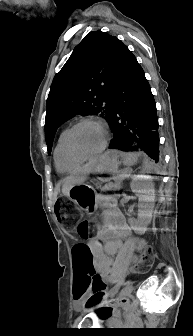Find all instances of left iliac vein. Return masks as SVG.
<instances>
[{"mask_svg": "<svg viewBox=\"0 0 193 336\" xmlns=\"http://www.w3.org/2000/svg\"><path fill=\"white\" fill-rule=\"evenodd\" d=\"M116 290V291H115ZM115 291V292H113ZM118 291V287H114L111 292L110 295L114 296ZM133 291V285L131 283H128L120 292H119V296L120 297H125L131 294V292Z\"/></svg>", "mask_w": 193, "mask_h": 336, "instance_id": "obj_1", "label": "left iliac vein"}]
</instances>
